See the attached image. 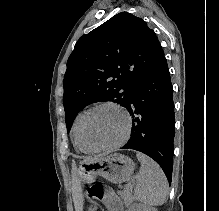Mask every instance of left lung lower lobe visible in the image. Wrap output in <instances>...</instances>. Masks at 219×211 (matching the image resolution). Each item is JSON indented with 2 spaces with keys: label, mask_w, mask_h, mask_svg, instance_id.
Returning a JSON list of instances; mask_svg holds the SVG:
<instances>
[{
  "label": "left lung lower lobe",
  "mask_w": 219,
  "mask_h": 211,
  "mask_svg": "<svg viewBox=\"0 0 219 211\" xmlns=\"http://www.w3.org/2000/svg\"><path fill=\"white\" fill-rule=\"evenodd\" d=\"M173 87L163 55L135 84L124 106L132 116L131 137L122 147L154 159L171 182L174 151Z\"/></svg>",
  "instance_id": "1"
}]
</instances>
